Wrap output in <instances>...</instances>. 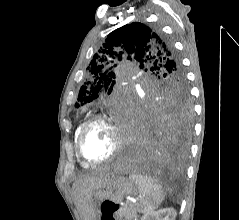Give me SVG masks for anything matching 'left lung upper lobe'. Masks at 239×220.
<instances>
[{"instance_id": "1", "label": "left lung upper lobe", "mask_w": 239, "mask_h": 220, "mask_svg": "<svg viewBox=\"0 0 239 220\" xmlns=\"http://www.w3.org/2000/svg\"><path fill=\"white\" fill-rule=\"evenodd\" d=\"M123 58L136 60L141 69L150 70L157 81L138 96L135 107L153 112H177L189 119L192 104L189 99L185 72L171 43L156 29L139 22L124 25L111 32L92 57L87 77L81 86L75 107L85 105L99 95L116 97L108 101L113 112L128 110L125 89L116 82L115 71Z\"/></svg>"}]
</instances>
